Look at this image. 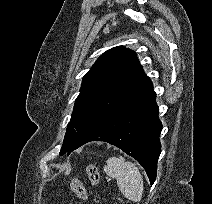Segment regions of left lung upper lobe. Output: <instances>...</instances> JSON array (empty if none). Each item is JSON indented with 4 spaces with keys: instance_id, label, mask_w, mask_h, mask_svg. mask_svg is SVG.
Wrapping results in <instances>:
<instances>
[{
    "instance_id": "obj_1",
    "label": "left lung upper lobe",
    "mask_w": 212,
    "mask_h": 204,
    "mask_svg": "<svg viewBox=\"0 0 212 204\" xmlns=\"http://www.w3.org/2000/svg\"><path fill=\"white\" fill-rule=\"evenodd\" d=\"M148 80L132 50L117 46L106 51L83 77L60 155L71 149L82 132Z\"/></svg>"
}]
</instances>
